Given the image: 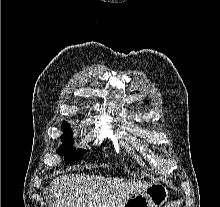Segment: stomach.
I'll use <instances>...</instances> for the list:
<instances>
[{
    "label": "stomach",
    "instance_id": "1",
    "mask_svg": "<svg viewBox=\"0 0 220 207\" xmlns=\"http://www.w3.org/2000/svg\"><path fill=\"white\" fill-rule=\"evenodd\" d=\"M168 198L169 191L163 184L151 182L140 194L131 196L123 207H162Z\"/></svg>",
    "mask_w": 220,
    "mask_h": 207
}]
</instances>
